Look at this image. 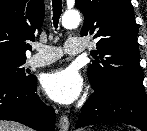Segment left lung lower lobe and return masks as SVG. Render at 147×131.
<instances>
[{"label":"left lung lower lobe","mask_w":147,"mask_h":131,"mask_svg":"<svg viewBox=\"0 0 147 131\" xmlns=\"http://www.w3.org/2000/svg\"><path fill=\"white\" fill-rule=\"evenodd\" d=\"M107 122L129 124L147 131L145 90L130 86H117L107 92L94 90L79 114L76 128Z\"/></svg>","instance_id":"obj_1"}]
</instances>
